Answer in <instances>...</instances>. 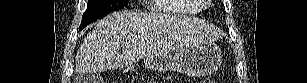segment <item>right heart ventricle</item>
Listing matches in <instances>:
<instances>
[{"label":"right heart ventricle","mask_w":307,"mask_h":83,"mask_svg":"<svg viewBox=\"0 0 307 83\" xmlns=\"http://www.w3.org/2000/svg\"><path fill=\"white\" fill-rule=\"evenodd\" d=\"M156 8L165 14H195L197 8L190 0H157Z\"/></svg>","instance_id":"1"}]
</instances>
